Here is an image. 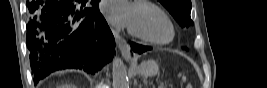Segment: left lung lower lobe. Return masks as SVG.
<instances>
[{
	"instance_id": "0a47b994",
	"label": "left lung lower lobe",
	"mask_w": 267,
	"mask_h": 88,
	"mask_svg": "<svg viewBox=\"0 0 267 88\" xmlns=\"http://www.w3.org/2000/svg\"><path fill=\"white\" fill-rule=\"evenodd\" d=\"M130 46H131V51L132 52L139 53V54H141V53H143L145 51L151 50V47L139 45V44H136L134 42H131Z\"/></svg>"
}]
</instances>
